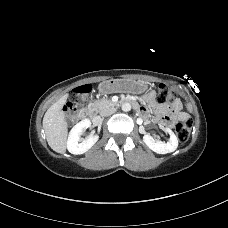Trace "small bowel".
<instances>
[{"instance_id":"small-bowel-1","label":"small bowel","mask_w":228,"mask_h":228,"mask_svg":"<svg viewBox=\"0 0 228 228\" xmlns=\"http://www.w3.org/2000/svg\"><path fill=\"white\" fill-rule=\"evenodd\" d=\"M145 100L150 104H154L155 103L154 92L152 91L148 92L145 95ZM158 111L160 112L158 119L166 124H172L177 119L187 118L186 113L182 111V104L179 100H176L169 109L166 106H159ZM140 112L143 115H147L148 109L145 107H140Z\"/></svg>"}]
</instances>
